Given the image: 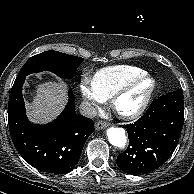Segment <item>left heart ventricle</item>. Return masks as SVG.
<instances>
[{
  "label": "left heart ventricle",
  "mask_w": 194,
  "mask_h": 194,
  "mask_svg": "<svg viewBox=\"0 0 194 194\" xmlns=\"http://www.w3.org/2000/svg\"><path fill=\"white\" fill-rule=\"evenodd\" d=\"M150 86L151 82L149 80L136 85L131 91L120 98L117 103L118 109L125 113L134 111L141 104Z\"/></svg>",
  "instance_id": "obj_1"
}]
</instances>
